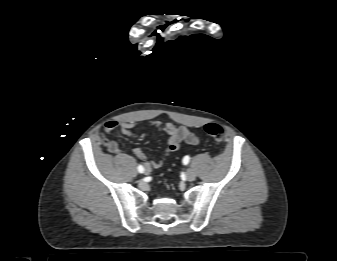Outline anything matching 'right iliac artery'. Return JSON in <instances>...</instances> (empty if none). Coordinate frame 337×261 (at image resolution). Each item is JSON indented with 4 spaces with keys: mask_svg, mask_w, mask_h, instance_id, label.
I'll list each match as a JSON object with an SVG mask.
<instances>
[{
    "mask_svg": "<svg viewBox=\"0 0 337 261\" xmlns=\"http://www.w3.org/2000/svg\"><path fill=\"white\" fill-rule=\"evenodd\" d=\"M137 169L140 173L144 172V167L142 165H138Z\"/></svg>",
    "mask_w": 337,
    "mask_h": 261,
    "instance_id": "right-iliac-artery-1",
    "label": "right iliac artery"
}]
</instances>
